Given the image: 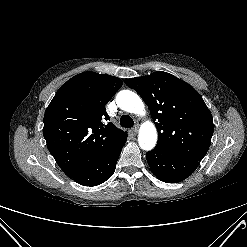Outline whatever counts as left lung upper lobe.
<instances>
[{"label": "left lung upper lobe", "mask_w": 247, "mask_h": 247, "mask_svg": "<svg viewBox=\"0 0 247 247\" xmlns=\"http://www.w3.org/2000/svg\"><path fill=\"white\" fill-rule=\"evenodd\" d=\"M126 85L139 93L156 121L157 147L185 158L203 159L214 125L205 102L191 85L163 71L130 78Z\"/></svg>", "instance_id": "5c2ea615"}]
</instances>
